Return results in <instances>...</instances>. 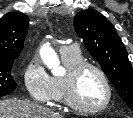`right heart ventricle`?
<instances>
[{
    "label": "right heart ventricle",
    "mask_w": 133,
    "mask_h": 118,
    "mask_svg": "<svg viewBox=\"0 0 133 118\" xmlns=\"http://www.w3.org/2000/svg\"><path fill=\"white\" fill-rule=\"evenodd\" d=\"M62 55V54H61ZM62 61L69 71L74 66L83 62V58L80 52L62 55ZM64 78L65 76L52 77L53 82V100L61 103L65 102L64 96Z\"/></svg>",
    "instance_id": "obj_1"
}]
</instances>
